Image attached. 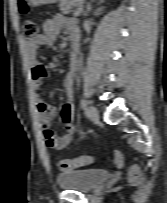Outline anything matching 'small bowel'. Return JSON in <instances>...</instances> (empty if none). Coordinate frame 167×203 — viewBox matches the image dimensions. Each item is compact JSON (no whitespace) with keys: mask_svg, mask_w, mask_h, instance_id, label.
I'll return each mask as SVG.
<instances>
[{"mask_svg":"<svg viewBox=\"0 0 167 203\" xmlns=\"http://www.w3.org/2000/svg\"><path fill=\"white\" fill-rule=\"evenodd\" d=\"M42 30V33L36 38L26 42L31 81L35 88H38L41 85L43 79L48 74V66L38 57L39 51L44 47H52L63 30H65L74 41H76L78 37L76 20L66 18L62 15H56L45 20L42 25ZM77 69L78 59L70 54L69 71L64 78L68 99L61 109L45 102L39 95L36 96V111L42 126V135L47 147L53 150L65 148L71 142L77 131L73 122L75 103L72 89ZM56 116H60V120L65 128L64 133L59 136L56 135L50 127L52 118Z\"/></svg>","mask_w":167,"mask_h":203,"instance_id":"1","label":"small bowel"}]
</instances>
